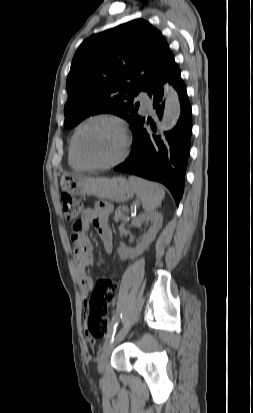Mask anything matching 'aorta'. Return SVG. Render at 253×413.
Returning <instances> with one entry per match:
<instances>
[{"instance_id":"1","label":"aorta","mask_w":253,"mask_h":413,"mask_svg":"<svg viewBox=\"0 0 253 413\" xmlns=\"http://www.w3.org/2000/svg\"><path fill=\"white\" fill-rule=\"evenodd\" d=\"M164 96L166 104L164 109V116L162 120V127L165 130L172 129L177 123L180 116V101L178 94L169 84L164 86Z\"/></svg>"}]
</instances>
